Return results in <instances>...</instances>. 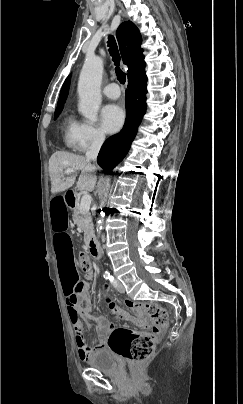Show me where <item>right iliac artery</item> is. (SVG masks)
<instances>
[{
  "mask_svg": "<svg viewBox=\"0 0 243 404\" xmlns=\"http://www.w3.org/2000/svg\"><path fill=\"white\" fill-rule=\"evenodd\" d=\"M103 276H104L105 279H110L111 278V275H110L109 272H105Z\"/></svg>",
  "mask_w": 243,
  "mask_h": 404,
  "instance_id": "1",
  "label": "right iliac artery"
}]
</instances>
